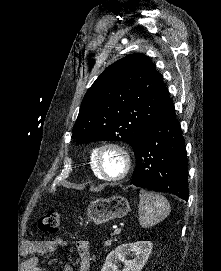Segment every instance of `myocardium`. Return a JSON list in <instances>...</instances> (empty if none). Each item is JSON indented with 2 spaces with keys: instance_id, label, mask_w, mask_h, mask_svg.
Returning a JSON list of instances; mask_svg holds the SVG:
<instances>
[{
  "instance_id": "obj_1",
  "label": "myocardium",
  "mask_w": 221,
  "mask_h": 271,
  "mask_svg": "<svg viewBox=\"0 0 221 271\" xmlns=\"http://www.w3.org/2000/svg\"><path fill=\"white\" fill-rule=\"evenodd\" d=\"M104 140H119L114 138ZM121 145L118 142H107L105 145H97V150H94L97 156H93L96 160V169L99 170L98 175H103L104 178H125L131 171L128 167L133 165L128 162L130 158L127 157L129 150H120ZM118 149V150H117ZM109 155H113L115 158L112 162L117 164L122 169L121 172L113 175H105L103 168L105 167L104 157L107 158ZM90 171V170H89Z\"/></svg>"
}]
</instances>
